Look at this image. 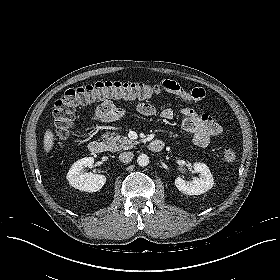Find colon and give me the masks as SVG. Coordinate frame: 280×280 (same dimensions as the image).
Wrapping results in <instances>:
<instances>
[{"label": "colon", "instance_id": "obj_1", "mask_svg": "<svg viewBox=\"0 0 280 280\" xmlns=\"http://www.w3.org/2000/svg\"><path fill=\"white\" fill-rule=\"evenodd\" d=\"M160 92V87L148 83H126L120 81H100L67 90L64 95L55 101L53 107L54 132L57 140L68 136L75 118V109L80 105H87L97 99H146ZM237 152L233 147H225L222 151V160L226 164L233 163Z\"/></svg>", "mask_w": 280, "mask_h": 280}]
</instances>
